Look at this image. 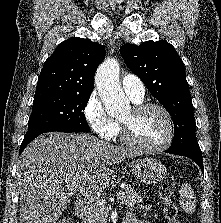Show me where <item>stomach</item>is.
Returning a JSON list of instances; mask_svg holds the SVG:
<instances>
[{
    "label": "stomach",
    "instance_id": "0dacf381",
    "mask_svg": "<svg viewBox=\"0 0 221 223\" xmlns=\"http://www.w3.org/2000/svg\"><path fill=\"white\" fill-rule=\"evenodd\" d=\"M135 178L145 184H157L166 176L165 166L155 158L138 159L131 165Z\"/></svg>",
    "mask_w": 221,
    "mask_h": 223
}]
</instances>
